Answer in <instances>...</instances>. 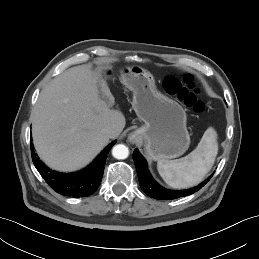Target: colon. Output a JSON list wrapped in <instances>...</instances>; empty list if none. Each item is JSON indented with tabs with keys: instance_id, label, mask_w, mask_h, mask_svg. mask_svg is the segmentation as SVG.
Returning a JSON list of instances; mask_svg holds the SVG:
<instances>
[{
	"instance_id": "5ec220e1",
	"label": "colon",
	"mask_w": 259,
	"mask_h": 259,
	"mask_svg": "<svg viewBox=\"0 0 259 259\" xmlns=\"http://www.w3.org/2000/svg\"><path fill=\"white\" fill-rule=\"evenodd\" d=\"M163 84L168 93L175 95L193 112L202 113L206 110V104L200 98V92L191 76L184 75L181 78L168 76L164 79Z\"/></svg>"
}]
</instances>
